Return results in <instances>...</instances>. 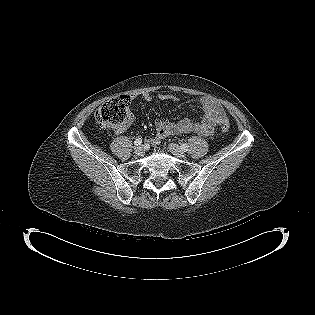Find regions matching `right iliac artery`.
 Segmentation results:
<instances>
[{"label":"right iliac artery","instance_id":"1","mask_svg":"<svg viewBox=\"0 0 315 315\" xmlns=\"http://www.w3.org/2000/svg\"><path fill=\"white\" fill-rule=\"evenodd\" d=\"M141 143H142V139H141V138H137V139L134 141V144H135L136 146L141 145Z\"/></svg>","mask_w":315,"mask_h":315}]
</instances>
